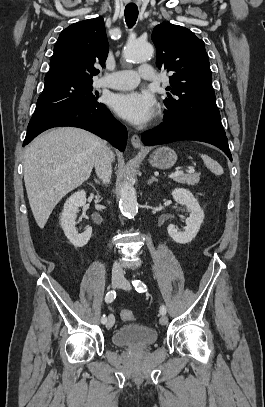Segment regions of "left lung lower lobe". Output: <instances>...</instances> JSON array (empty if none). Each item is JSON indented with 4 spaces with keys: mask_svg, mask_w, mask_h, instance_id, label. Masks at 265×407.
Listing matches in <instances>:
<instances>
[{
    "mask_svg": "<svg viewBox=\"0 0 265 407\" xmlns=\"http://www.w3.org/2000/svg\"><path fill=\"white\" fill-rule=\"evenodd\" d=\"M180 140L210 143L220 148L232 160L225 132L195 121L162 122L157 128L142 134L145 145H160Z\"/></svg>",
    "mask_w": 265,
    "mask_h": 407,
    "instance_id": "0a47b994",
    "label": "left lung lower lobe"
}]
</instances>
